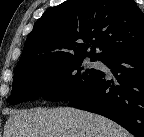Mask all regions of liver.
I'll list each match as a JSON object with an SVG mask.
<instances>
[{
    "label": "liver",
    "mask_w": 144,
    "mask_h": 137,
    "mask_svg": "<svg viewBox=\"0 0 144 137\" xmlns=\"http://www.w3.org/2000/svg\"><path fill=\"white\" fill-rule=\"evenodd\" d=\"M4 137H131V134L103 116L58 107L12 111Z\"/></svg>",
    "instance_id": "1"
}]
</instances>
